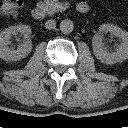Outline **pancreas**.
<instances>
[{
    "label": "pancreas",
    "mask_w": 128,
    "mask_h": 128,
    "mask_svg": "<svg viewBox=\"0 0 128 128\" xmlns=\"http://www.w3.org/2000/svg\"><path fill=\"white\" fill-rule=\"evenodd\" d=\"M44 6L50 14L61 12L69 7L68 2H59L58 0H44Z\"/></svg>",
    "instance_id": "cf45deb5"
}]
</instances>
